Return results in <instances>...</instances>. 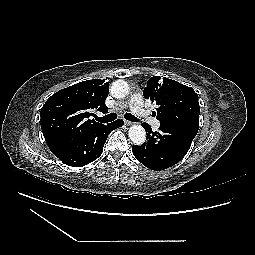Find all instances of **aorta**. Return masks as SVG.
<instances>
[{
    "label": "aorta",
    "instance_id": "aorta-1",
    "mask_svg": "<svg viewBox=\"0 0 255 255\" xmlns=\"http://www.w3.org/2000/svg\"><path fill=\"white\" fill-rule=\"evenodd\" d=\"M110 91L113 97L123 98L129 93L128 83L124 80H117L112 83ZM129 138L130 140L137 145H141L146 140V132L141 125H132L129 128Z\"/></svg>",
    "mask_w": 255,
    "mask_h": 255
}]
</instances>
